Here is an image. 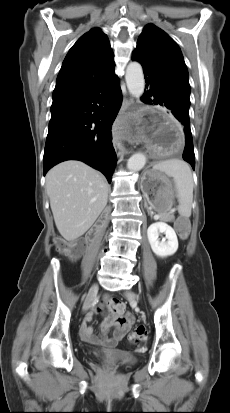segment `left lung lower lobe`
<instances>
[{"label": "left lung lower lobe", "mask_w": 230, "mask_h": 413, "mask_svg": "<svg viewBox=\"0 0 230 413\" xmlns=\"http://www.w3.org/2000/svg\"><path fill=\"white\" fill-rule=\"evenodd\" d=\"M143 71L148 91L141 98L142 102L161 105L167 108L168 113L181 123L185 133L183 159L190 163L194 169L195 155L189 119L190 102L184 96L171 89L166 81L155 71L144 66Z\"/></svg>", "instance_id": "left-lung-lower-lobe-1"}]
</instances>
